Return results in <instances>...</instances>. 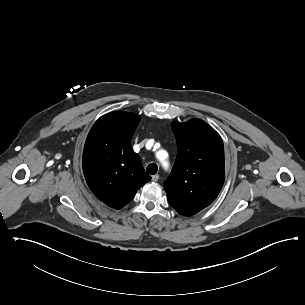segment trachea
<instances>
[{"instance_id":"trachea-1","label":"trachea","mask_w":305,"mask_h":305,"mask_svg":"<svg viewBox=\"0 0 305 305\" xmlns=\"http://www.w3.org/2000/svg\"><path fill=\"white\" fill-rule=\"evenodd\" d=\"M147 173L151 174V175H154L157 173L158 171V166L157 164L155 163H151L147 166V169H146Z\"/></svg>"}]
</instances>
